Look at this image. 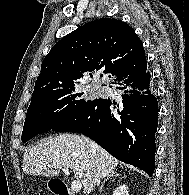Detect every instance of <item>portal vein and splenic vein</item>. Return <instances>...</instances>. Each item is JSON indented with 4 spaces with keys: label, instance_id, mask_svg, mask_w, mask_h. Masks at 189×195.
I'll use <instances>...</instances> for the list:
<instances>
[{
    "label": "portal vein and splenic vein",
    "instance_id": "portal-vein-and-splenic-vein-1",
    "mask_svg": "<svg viewBox=\"0 0 189 195\" xmlns=\"http://www.w3.org/2000/svg\"><path fill=\"white\" fill-rule=\"evenodd\" d=\"M52 168H59L62 169V171L64 172L65 175H70V171L68 168L62 167L61 165H52ZM82 184L79 180H74L71 183V189L74 192H78L81 190Z\"/></svg>",
    "mask_w": 189,
    "mask_h": 195
}]
</instances>
